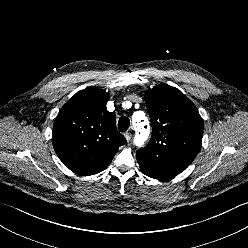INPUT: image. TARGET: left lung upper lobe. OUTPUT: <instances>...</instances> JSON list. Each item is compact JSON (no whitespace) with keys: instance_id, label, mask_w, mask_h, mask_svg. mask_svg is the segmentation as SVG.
I'll return each mask as SVG.
<instances>
[{"instance_id":"obj_1","label":"left lung upper lobe","mask_w":248,"mask_h":248,"mask_svg":"<svg viewBox=\"0 0 248 248\" xmlns=\"http://www.w3.org/2000/svg\"><path fill=\"white\" fill-rule=\"evenodd\" d=\"M152 136L136 153L141 171L167 180L184 171L202 143L203 121L194 104L177 88L160 84L145 94Z\"/></svg>"}]
</instances>
